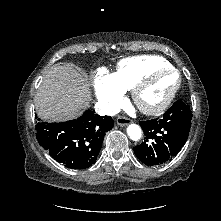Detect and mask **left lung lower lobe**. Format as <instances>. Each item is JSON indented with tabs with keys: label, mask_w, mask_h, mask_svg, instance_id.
I'll return each instance as SVG.
<instances>
[{
	"label": "left lung lower lobe",
	"mask_w": 221,
	"mask_h": 221,
	"mask_svg": "<svg viewBox=\"0 0 221 221\" xmlns=\"http://www.w3.org/2000/svg\"><path fill=\"white\" fill-rule=\"evenodd\" d=\"M191 119L189 105L176 101L160 118L139 122L145 139L134 147L137 158L148 166L161 165L172 159L187 140Z\"/></svg>",
	"instance_id": "1"
}]
</instances>
